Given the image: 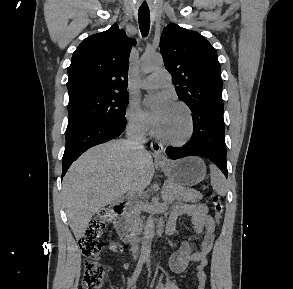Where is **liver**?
<instances>
[{
    "label": "liver",
    "instance_id": "6515ba94",
    "mask_svg": "<svg viewBox=\"0 0 293 289\" xmlns=\"http://www.w3.org/2000/svg\"><path fill=\"white\" fill-rule=\"evenodd\" d=\"M151 154L127 140H112L87 150L70 167L62 183L69 226L79 240L92 216L126 193H142L154 176Z\"/></svg>",
    "mask_w": 293,
    "mask_h": 289
}]
</instances>
